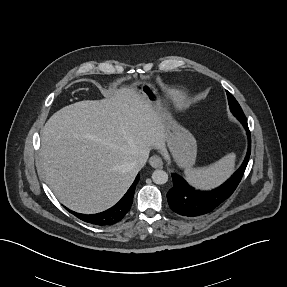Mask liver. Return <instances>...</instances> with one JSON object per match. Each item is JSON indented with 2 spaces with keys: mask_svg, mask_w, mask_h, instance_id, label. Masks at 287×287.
<instances>
[{
  "mask_svg": "<svg viewBox=\"0 0 287 287\" xmlns=\"http://www.w3.org/2000/svg\"><path fill=\"white\" fill-rule=\"evenodd\" d=\"M166 137L160 114L136 90L122 89L54 113L42 129L40 162L61 203L98 213L128 190L138 173L135 158L151 148L164 151Z\"/></svg>",
  "mask_w": 287,
  "mask_h": 287,
  "instance_id": "1",
  "label": "liver"
}]
</instances>
